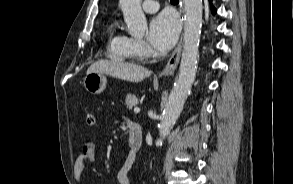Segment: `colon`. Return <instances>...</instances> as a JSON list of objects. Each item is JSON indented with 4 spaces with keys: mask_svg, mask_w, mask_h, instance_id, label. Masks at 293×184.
Returning <instances> with one entry per match:
<instances>
[{
    "mask_svg": "<svg viewBox=\"0 0 293 184\" xmlns=\"http://www.w3.org/2000/svg\"><path fill=\"white\" fill-rule=\"evenodd\" d=\"M96 123V117L92 112L86 114V124L90 127L94 126Z\"/></svg>",
    "mask_w": 293,
    "mask_h": 184,
    "instance_id": "colon-1",
    "label": "colon"
}]
</instances>
